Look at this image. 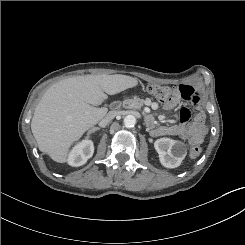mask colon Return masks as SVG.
<instances>
[{"instance_id": "obj_1", "label": "colon", "mask_w": 245, "mask_h": 245, "mask_svg": "<svg viewBox=\"0 0 245 245\" xmlns=\"http://www.w3.org/2000/svg\"><path fill=\"white\" fill-rule=\"evenodd\" d=\"M148 91L152 94L155 98H157L161 102H165L169 100L171 96V88L167 86H160V85H150L148 86ZM201 154V148L199 146H192L189 151V156L192 159L199 157Z\"/></svg>"}]
</instances>
